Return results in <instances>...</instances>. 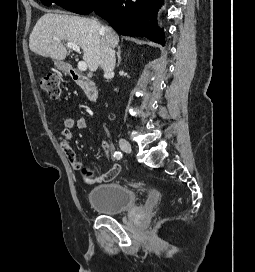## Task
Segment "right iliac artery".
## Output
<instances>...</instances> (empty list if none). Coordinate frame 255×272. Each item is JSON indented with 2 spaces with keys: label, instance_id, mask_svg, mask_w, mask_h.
<instances>
[{
  "label": "right iliac artery",
  "instance_id": "1",
  "mask_svg": "<svg viewBox=\"0 0 255 272\" xmlns=\"http://www.w3.org/2000/svg\"><path fill=\"white\" fill-rule=\"evenodd\" d=\"M114 157H115L117 160H119V159L122 158V153L119 152V151H117V152L114 153Z\"/></svg>",
  "mask_w": 255,
  "mask_h": 272
}]
</instances>
